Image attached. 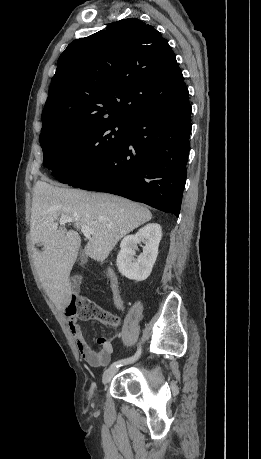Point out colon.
<instances>
[{
  "label": "colon",
  "instance_id": "obj_1",
  "mask_svg": "<svg viewBox=\"0 0 261 459\" xmlns=\"http://www.w3.org/2000/svg\"><path fill=\"white\" fill-rule=\"evenodd\" d=\"M65 314L67 316H78L83 320L94 319L109 327H116L119 324V318L116 315L105 310L86 296L74 297L66 307Z\"/></svg>",
  "mask_w": 261,
  "mask_h": 459
}]
</instances>
